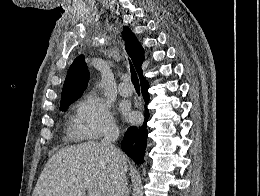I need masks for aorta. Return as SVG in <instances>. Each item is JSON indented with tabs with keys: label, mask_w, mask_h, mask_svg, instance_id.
I'll return each instance as SVG.
<instances>
[{
	"label": "aorta",
	"mask_w": 260,
	"mask_h": 196,
	"mask_svg": "<svg viewBox=\"0 0 260 196\" xmlns=\"http://www.w3.org/2000/svg\"><path fill=\"white\" fill-rule=\"evenodd\" d=\"M97 85H98V87H101L103 84L102 83H98Z\"/></svg>",
	"instance_id": "obj_1"
}]
</instances>
